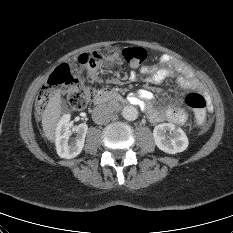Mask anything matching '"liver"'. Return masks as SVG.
Returning a JSON list of instances; mask_svg holds the SVG:
<instances>
[{"mask_svg":"<svg viewBox=\"0 0 233 233\" xmlns=\"http://www.w3.org/2000/svg\"><path fill=\"white\" fill-rule=\"evenodd\" d=\"M61 103V95L57 92L49 99L42 115L43 133L50 142L56 140V128L63 111Z\"/></svg>","mask_w":233,"mask_h":233,"instance_id":"1","label":"liver"}]
</instances>
